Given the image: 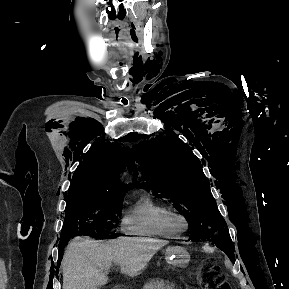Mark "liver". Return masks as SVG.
<instances>
[{"label":"liver","instance_id":"6515ba94","mask_svg":"<svg viewBox=\"0 0 289 289\" xmlns=\"http://www.w3.org/2000/svg\"><path fill=\"white\" fill-rule=\"evenodd\" d=\"M165 240L122 237L103 243L75 238L67 247L63 261V289H98L107 283L103 269L112 262L123 274L136 276L145 268Z\"/></svg>","mask_w":289,"mask_h":289}]
</instances>
